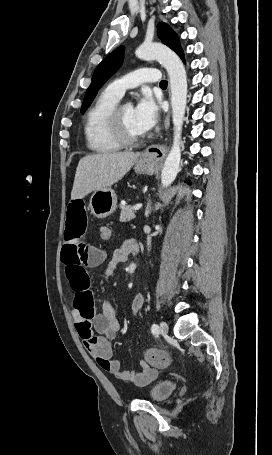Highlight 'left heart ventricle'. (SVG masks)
<instances>
[{
	"instance_id": "obj_1",
	"label": "left heart ventricle",
	"mask_w": 272,
	"mask_h": 455,
	"mask_svg": "<svg viewBox=\"0 0 272 455\" xmlns=\"http://www.w3.org/2000/svg\"><path fill=\"white\" fill-rule=\"evenodd\" d=\"M122 119L126 132L133 137L141 136L135 122V113L132 106H125L122 110Z\"/></svg>"
}]
</instances>
